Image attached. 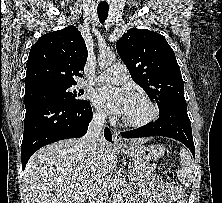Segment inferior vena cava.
Here are the masks:
<instances>
[{
  "instance_id": "inferior-vena-cava-1",
  "label": "inferior vena cava",
  "mask_w": 222,
  "mask_h": 203,
  "mask_svg": "<svg viewBox=\"0 0 222 203\" xmlns=\"http://www.w3.org/2000/svg\"><path fill=\"white\" fill-rule=\"evenodd\" d=\"M104 123V114H94L87 134L82 138L83 146L90 156L98 155L99 145L105 140L102 136ZM90 203H108V176L104 172H100L90 184Z\"/></svg>"
}]
</instances>
